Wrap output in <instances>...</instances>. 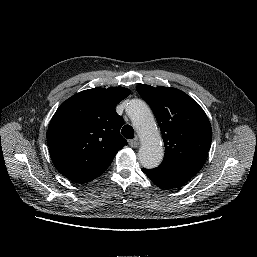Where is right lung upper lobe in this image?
<instances>
[{
  "label": "right lung upper lobe",
  "instance_id": "1",
  "mask_svg": "<svg viewBox=\"0 0 257 257\" xmlns=\"http://www.w3.org/2000/svg\"><path fill=\"white\" fill-rule=\"evenodd\" d=\"M124 87L93 88L64 101L53 115L47 142L57 170L76 183L99 177L127 141L116 105L129 96Z\"/></svg>",
  "mask_w": 257,
  "mask_h": 257
}]
</instances>
